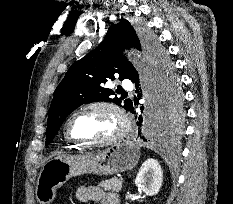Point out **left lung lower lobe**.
I'll return each instance as SVG.
<instances>
[{
	"instance_id": "1",
	"label": "left lung lower lobe",
	"mask_w": 233,
	"mask_h": 204,
	"mask_svg": "<svg viewBox=\"0 0 233 204\" xmlns=\"http://www.w3.org/2000/svg\"><path fill=\"white\" fill-rule=\"evenodd\" d=\"M130 80L135 83L136 85V88H139L140 86V78H139V74L138 72H134L133 75L131 76ZM139 92V91H137ZM138 97L141 98V94H138ZM136 104V103H135ZM143 106H141V110H143ZM127 111H130L131 113L133 114H136L135 110H134V105L133 103L131 104V106L128 108ZM135 118L137 119V125L139 127L142 126V122H143V118L141 116H135ZM178 129H176L173 125H171L170 123H168L167 121L164 120L163 118V124H162V127L160 129V133H158L156 139L157 140H160V141H163V140H166L168 139L170 133H175L177 132ZM139 134H141L139 132ZM140 138L144 139V136H140ZM144 141H146V139H144Z\"/></svg>"
}]
</instances>
